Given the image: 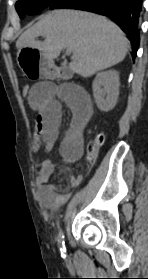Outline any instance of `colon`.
<instances>
[{"instance_id":"obj_1","label":"colon","mask_w":148,"mask_h":279,"mask_svg":"<svg viewBox=\"0 0 148 279\" xmlns=\"http://www.w3.org/2000/svg\"><path fill=\"white\" fill-rule=\"evenodd\" d=\"M30 91H31V86H29V85H23L21 88V93L26 98L29 97ZM103 140H104L103 136L98 135L94 139V141L89 145L87 157L90 162H93L95 160L98 150H99L100 146L103 144Z\"/></svg>"}]
</instances>
